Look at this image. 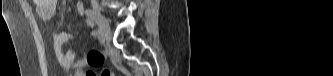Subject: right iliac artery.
Listing matches in <instances>:
<instances>
[{
	"mask_svg": "<svg viewBox=\"0 0 333 76\" xmlns=\"http://www.w3.org/2000/svg\"><path fill=\"white\" fill-rule=\"evenodd\" d=\"M85 13H86L88 19H90L93 22V24H97V31H98L99 35L103 36L94 11H92L91 9H87L85 11Z\"/></svg>",
	"mask_w": 333,
	"mask_h": 76,
	"instance_id": "1",
	"label": "right iliac artery"
}]
</instances>
